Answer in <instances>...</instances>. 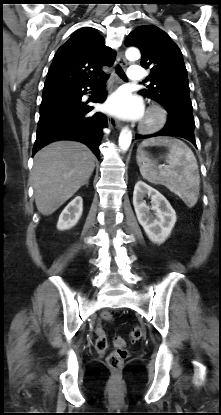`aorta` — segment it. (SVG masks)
<instances>
[{"label":"aorta","mask_w":221,"mask_h":415,"mask_svg":"<svg viewBox=\"0 0 221 415\" xmlns=\"http://www.w3.org/2000/svg\"><path fill=\"white\" fill-rule=\"evenodd\" d=\"M125 56L128 60L134 61L139 59L140 52L135 47H129L126 50ZM132 141V132L128 127H124L119 136V146L122 151H127Z\"/></svg>","instance_id":"aorta-1"}]
</instances>
